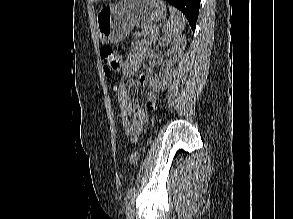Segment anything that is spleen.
<instances>
[{
	"label": "spleen",
	"mask_w": 293,
	"mask_h": 219,
	"mask_svg": "<svg viewBox=\"0 0 293 219\" xmlns=\"http://www.w3.org/2000/svg\"><path fill=\"white\" fill-rule=\"evenodd\" d=\"M170 17L162 31L169 36L176 37L185 28V17L176 8L169 6Z\"/></svg>",
	"instance_id": "spleen-1"
}]
</instances>
